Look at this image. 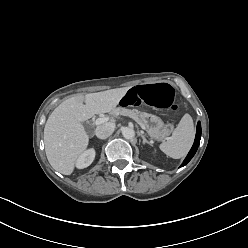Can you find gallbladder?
<instances>
[{"instance_id": "gallbladder-1", "label": "gallbladder", "mask_w": 248, "mask_h": 248, "mask_svg": "<svg viewBox=\"0 0 248 248\" xmlns=\"http://www.w3.org/2000/svg\"><path fill=\"white\" fill-rule=\"evenodd\" d=\"M86 129H88V125L85 124Z\"/></svg>"}]
</instances>
